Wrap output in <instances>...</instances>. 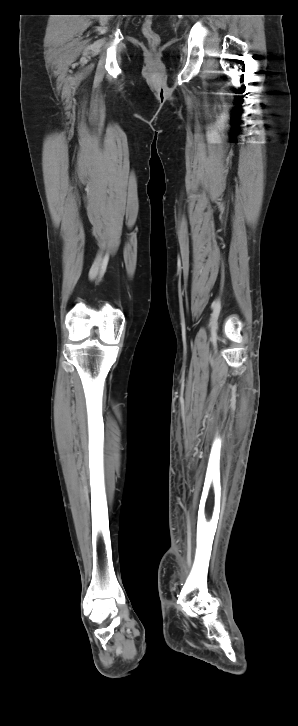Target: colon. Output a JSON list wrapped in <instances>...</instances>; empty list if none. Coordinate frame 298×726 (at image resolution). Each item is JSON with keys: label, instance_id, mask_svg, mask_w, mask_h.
<instances>
[{"label": "colon", "instance_id": "5ec220e1", "mask_svg": "<svg viewBox=\"0 0 298 726\" xmlns=\"http://www.w3.org/2000/svg\"><path fill=\"white\" fill-rule=\"evenodd\" d=\"M142 32L145 38L149 41L151 45L158 44L160 38L159 35L155 32L153 29L152 23L149 20H146L142 25Z\"/></svg>", "mask_w": 298, "mask_h": 726}]
</instances>
